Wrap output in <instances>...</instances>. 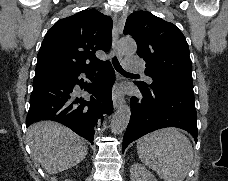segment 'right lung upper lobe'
I'll list each match as a JSON object with an SVG mask.
<instances>
[{"mask_svg": "<svg viewBox=\"0 0 228 181\" xmlns=\"http://www.w3.org/2000/svg\"><path fill=\"white\" fill-rule=\"evenodd\" d=\"M111 40L112 19L97 10H82L63 18L42 42L34 78L99 65L95 52L109 51Z\"/></svg>", "mask_w": 228, "mask_h": 181, "instance_id": "right-lung-upper-lobe-1", "label": "right lung upper lobe"}]
</instances>
